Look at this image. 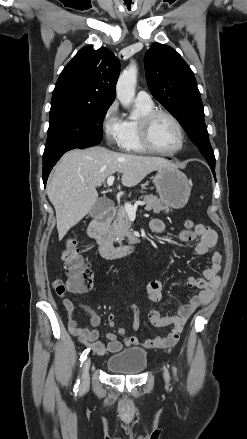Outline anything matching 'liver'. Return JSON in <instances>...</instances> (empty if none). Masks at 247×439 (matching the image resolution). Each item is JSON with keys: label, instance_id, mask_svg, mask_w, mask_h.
Segmentation results:
<instances>
[{"label": "liver", "instance_id": "1", "mask_svg": "<svg viewBox=\"0 0 247 439\" xmlns=\"http://www.w3.org/2000/svg\"><path fill=\"white\" fill-rule=\"evenodd\" d=\"M174 166L160 157L117 153L99 146L68 151L47 184V195L56 211L59 240L91 211L98 200L96 187L109 176L122 173V184L133 187L149 173Z\"/></svg>", "mask_w": 247, "mask_h": 439}]
</instances>
